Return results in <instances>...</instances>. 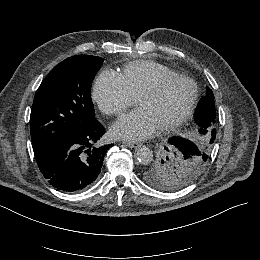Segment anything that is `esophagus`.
<instances>
[{
  "mask_svg": "<svg viewBox=\"0 0 260 260\" xmlns=\"http://www.w3.org/2000/svg\"><path fill=\"white\" fill-rule=\"evenodd\" d=\"M123 144H125L126 146L130 147V148H138L141 145L137 142H123Z\"/></svg>",
  "mask_w": 260,
  "mask_h": 260,
  "instance_id": "obj_1",
  "label": "esophagus"
}]
</instances>
